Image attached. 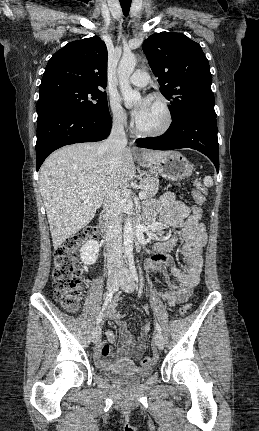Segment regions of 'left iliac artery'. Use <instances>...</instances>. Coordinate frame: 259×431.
I'll return each mask as SVG.
<instances>
[{"instance_id": "1", "label": "left iliac artery", "mask_w": 259, "mask_h": 431, "mask_svg": "<svg viewBox=\"0 0 259 431\" xmlns=\"http://www.w3.org/2000/svg\"><path fill=\"white\" fill-rule=\"evenodd\" d=\"M129 267H130V271H131V273H132V276H133V278H134V280L136 281V282H139V277H138V274H137V271H136V267H135V264H134V258H133V255H129ZM154 325H155V329L159 332V333H161L162 332V330H161V327H160V325L157 323V322H155L154 323Z\"/></svg>"}]
</instances>
